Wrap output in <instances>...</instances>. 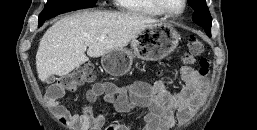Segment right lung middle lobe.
I'll return each mask as SVG.
<instances>
[{
	"instance_id": "1",
	"label": "right lung middle lobe",
	"mask_w": 257,
	"mask_h": 130,
	"mask_svg": "<svg viewBox=\"0 0 257 130\" xmlns=\"http://www.w3.org/2000/svg\"><path fill=\"white\" fill-rule=\"evenodd\" d=\"M97 0H48L44 10L39 15V26L49 18L70 10L89 8Z\"/></svg>"
}]
</instances>
